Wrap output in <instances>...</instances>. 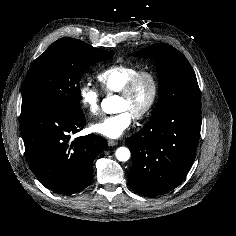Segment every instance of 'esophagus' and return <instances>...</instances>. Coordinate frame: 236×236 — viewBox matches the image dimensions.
I'll return each instance as SVG.
<instances>
[{
	"label": "esophagus",
	"instance_id": "34e87169",
	"mask_svg": "<svg viewBox=\"0 0 236 236\" xmlns=\"http://www.w3.org/2000/svg\"><path fill=\"white\" fill-rule=\"evenodd\" d=\"M118 142L113 139H108V146H116Z\"/></svg>",
	"mask_w": 236,
	"mask_h": 236
}]
</instances>
